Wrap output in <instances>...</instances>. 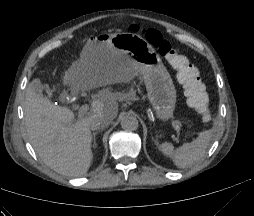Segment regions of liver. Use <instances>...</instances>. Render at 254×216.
<instances>
[{"instance_id":"1","label":"liver","mask_w":254,"mask_h":216,"mask_svg":"<svg viewBox=\"0 0 254 216\" xmlns=\"http://www.w3.org/2000/svg\"><path fill=\"white\" fill-rule=\"evenodd\" d=\"M85 48L79 60L85 55ZM138 74L125 56L116 53L106 65L89 67L76 66L74 63L64 73L63 83L81 90H92L128 83ZM119 99V93L101 90L91 102L89 113L83 118H76L69 108L55 105L29 86L24 102V118L27 135L35 152L59 174L73 177L86 174L93 159L89 119L99 115L112 122L118 115Z\"/></svg>"}]
</instances>
